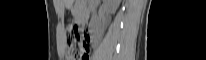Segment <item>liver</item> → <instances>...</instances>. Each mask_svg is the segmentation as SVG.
I'll return each mask as SVG.
<instances>
[{
    "instance_id": "6515ba94",
    "label": "liver",
    "mask_w": 206,
    "mask_h": 60,
    "mask_svg": "<svg viewBox=\"0 0 206 60\" xmlns=\"http://www.w3.org/2000/svg\"><path fill=\"white\" fill-rule=\"evenodd\" d=\"M72 2L73 0H60V3L63 5V6H71L72 5ZM110 3H112V11L115 12V10L117 9L119 3H120V0H110L109 1Z\"/></svg>"
}]
</instances>
